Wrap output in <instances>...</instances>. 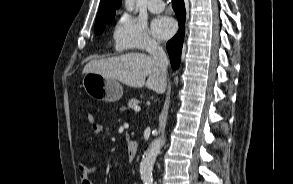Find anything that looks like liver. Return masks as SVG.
I'll return each mask as SVG.
<instances>
[{
    "mask_svg": "<svg viewBox=\"0 0 293 184\" xmlns=\"http://www.w3.org/2000/svg\"><path fill=\"white\" fill-rule=\"evenodd\" d=\"M88 72L119 80L130 87L141 88L145 85L157 93H163L166 90V83L160 78L152 57L144 53H128L105 59H93L83 69V73Z\"/></svg>",
    "mask_w": 293,
    "mask_h": 184,
    "instance_id": "6515ba94",
    "label": "liver"
}]
</instances>
